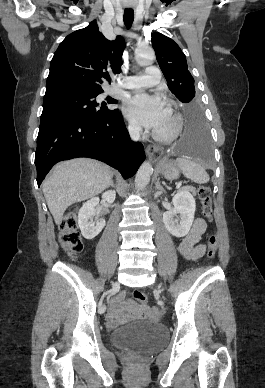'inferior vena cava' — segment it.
Returning <instances> with one entry per match:
<instances>
[{
	"label": "inferior vena cava",
	"instance_id": "obj_1",
	"mask_svg": "<svg viewBox=\"0 0 265 388\" xmlns=\"http://www.w3.org/2000/svg\"><path fill=\"white\" fill-rule=\"evenodd\" d=\"M128 130L131 140H134V142H138L140 138L141 128H138V126H129Z\"/></svg>",
	"mask_w": 265,
	"mask_h": 388
}]
</instances>
